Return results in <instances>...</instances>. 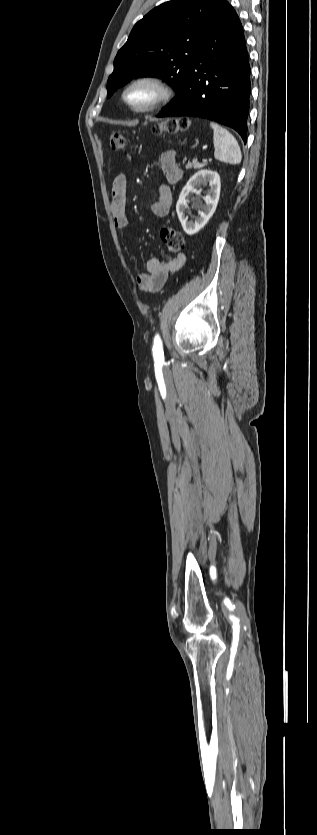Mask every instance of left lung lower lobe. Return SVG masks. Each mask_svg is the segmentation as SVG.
Here are the masks:
<instances>
[{"label":"left lung lower lobe","mask_w":317,"mask_h":835,"mask_svg":"<svg viewBox=\"0 0 317 835\" xmlns=\"http://www.w3.org/2000/svg\"><path fill=\"white\" fill-rule=\"evenodd\" d=\"M250 65L243 27L230 5L190 67L179 97L157 117L195 116L236 130L247 141Z\"/></svg>","instance_id":"left-lung-lower-lobe-1"}]
</instances>
